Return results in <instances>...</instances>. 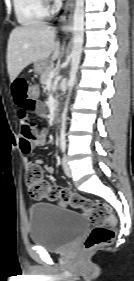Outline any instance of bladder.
<instances>
[{
  "instance_id": "31cf9c89",
  "label": "bladder",
  "mask_w": 134,
  "mask_h": 281,
  "mask_svg": "<svg viewBox=\"0 0 134 281\" xmlns=\"http://www.w3.org/2000/svg\"><path fill=\"white\" fill-rule=\"evenodd\" d=\"M29 218L31 242L55 252L65 250L89 226L83 214L50 203L33 204Z\"/></svg>"
}]
</instances>
